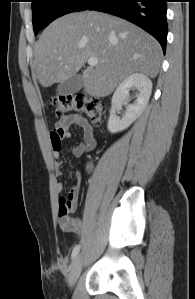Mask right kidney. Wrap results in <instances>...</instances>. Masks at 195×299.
Listing matches in <instances>:
<instances>
[{"label": "right kidney", "mask_w": 195, "mask_h": 299, "mask_svg": "<svg viewBox=\"0 0 195 299\" xmlns=\"http://www.w3.org/2000/svg\"><path fill=\"white\" fill-rule=\"evenodd\" d=\"M138 91L137 99L126 108L125 115L120 119L116 111L120 110L122 103L129 98V91ZM152 92L151 80L142 73H134L125 78L117 87L112 97V106L107 128L111 133H117L128 128L144 111Z\"/></svg>", "instance_id": "obj_1"}]
</instances>
